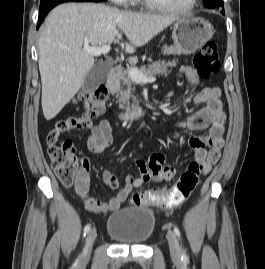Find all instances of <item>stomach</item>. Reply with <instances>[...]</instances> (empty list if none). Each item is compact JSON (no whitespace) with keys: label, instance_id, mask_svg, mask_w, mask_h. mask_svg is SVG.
I'll return each instance as SVG.
<instances>
[{"label":"stomach","instance_id":"stomach-1","mask_svg":"<svg viewBox=\"0 0 265 269\" xmlns=\"http://www.w3.org/2000/svg\"><path fill=\"white\" fill-rule=\"evenodd\" d=\"M214 34L207 20L199 17H183L174 22L172 38L174 44L165 46L163 54L189 55L200 49Z\"/></svg>","mask_w":265,"mask_h":269}]
</instances>
